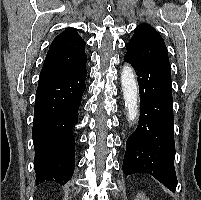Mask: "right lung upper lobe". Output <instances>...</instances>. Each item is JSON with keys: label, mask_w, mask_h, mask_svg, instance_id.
<instances>
[{"label": "right lung upper lobe", "mask_w": 201, "mask_h": 200, "mask_svg": "<svg viewBox=\"0 0 201 200\" xmlns=\"http://www.w3.org/2000/svg\"><path fill=\"white\" fill-rule=\"evenodd\" d=\"M85 41L68 28L53 40L40 72L38 84L57 81L78 72L87 62Z\"/></svg>", "instance_id": "right-lung-upper-lobe-1"}]
</instances>
